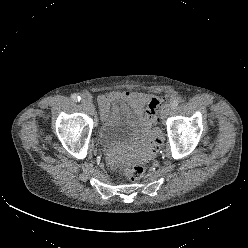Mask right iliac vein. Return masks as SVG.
I'll list each match as a JSON object with an SVG mask.
<instances>
[{"instance_id":"63e3f726","label":"right iliac vein","mask_w":248,"mask_h":248,"mask_svg":"<svg viewBox=\"0 0 248 248\" xmlns=\"http://www.w3.org/2000/svg\"><path fill=\"white\" fill-rule=\"evenodd\" d=\"M81 102L91 113L94 112V105L89 97L83 96Z\"/></svg>"}]
</instances>
